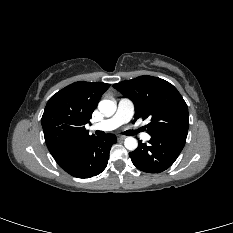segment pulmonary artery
<instances>
[{
  "label": "pulmonary artery",
  "instance_id": "obj_1",
  "mask_svg": "<svg viewBox=\"0 0 233 233\" xmlns=\"http://www.w3.org/2000/svg\"><path fill=\"white\" fill-rule=\"evenodd\" d=\"M133 114L134 105L132 101L127 98H122L119 100L117 111L112 117L92 125L91 128L93 130L111 131L129 122ZM150 137L148 133H143L141 135L144 141H148Z\"/></svg>",
  "mask_w": 233,
  "mask_h": 233
}]
</instances>
